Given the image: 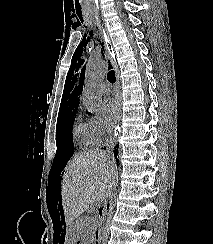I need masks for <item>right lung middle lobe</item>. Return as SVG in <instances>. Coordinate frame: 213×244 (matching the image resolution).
<instances>
[{
	"label": "right lung middle lobe",
	"instance_id": "1",
	"mask_svg": "<svg viewBox=\"0 0 213 244\" xmlns=\"http://www.w3.org/2000/svg\"><path fill=\"white\" fill-rule=\"evenodd\" d=\"M76 111L77 109L71 110L58 116L56 127L57 151L48 180L56 179L58 172L66 166L74 153L72 127Z\"/></svg>",
	"mask_w": 213,
	"mask_h": 244
}]
</instances>
